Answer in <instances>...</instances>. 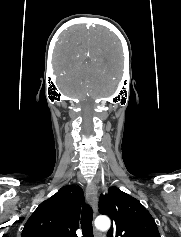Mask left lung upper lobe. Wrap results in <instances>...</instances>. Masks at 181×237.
<instances>
[{
  "mask_svg": "<svg viewBox=\"0 0 181 237\" xmlns=\"http://www.w3.org/2000/svg\"><path fill=\"white\" fill-rule=\"evenodd\" d=\"M99 212L113 220L107 237H160L157 225L145 207L117 187H110L107 194L101 195Z\"/></svg>",
  "mask_w": 181,
  "mask_h": 237,
  "instance_id": "obj_1",
  "label": "left lung upper lobe"
}]
</instances>
